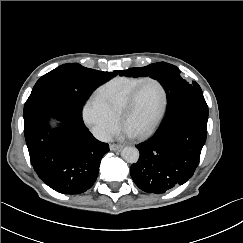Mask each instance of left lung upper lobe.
<instances>
[{
  "label": "left lung upper lobe",
  "mask_w": 243,
  "mask_h": 243,
  "mask_svg": "<svg viewBox=\"0 0 243 243\" xmlns=\"http://www.w3.org/2000/svg\"><path fill=\"white\" fill-rule=\"evenodd\" d=\"M119 74L133 77L149 76L158 80L166 91L167 110L187 97L202 93L200 86L196 82H187L181 77L180 70L176 66L166 62L122 70Z\"/></svg>",
  "instance_id": "1"
}]
</instances>
